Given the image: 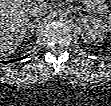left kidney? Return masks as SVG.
I'll return each instance as SVG.
<instances>
[{
  "instance_id": "obj_1",
  "label": "left kidney",
  "mask_w": 111,
  "mask_h": 106,
  "mask_svg": "<svg viewBox=\"0 0 111 106\" xmlns=\"http://www.w3.org/2000/svg\"><path fill=\"white\" fill-rule=\"evenodd\" d=\"M76 26L82 39L89 44H96L102 41L106 35V24L92 16H80Z\"/></svg>"
}]
</instances>
